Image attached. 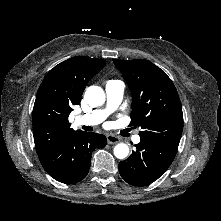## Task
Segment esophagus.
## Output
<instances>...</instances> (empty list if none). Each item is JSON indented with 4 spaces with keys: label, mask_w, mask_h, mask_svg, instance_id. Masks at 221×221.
<instances>
[{
    "label": "esophagus",
    "mask_w": 221,
    "mask_h": 221,
    "mask_svg": "<svg viewBox=\"0 0 221 221\" xmlns=\"http://www.w3.org/2000/svg\"><path fill=\"white\" fill-rule=\"evenodd\" d=\"M120 141V139L112 134L107 135L108 144H116Z\"/></svg>",
    "instance_id": "esophagus-1"
}]
</instances>
